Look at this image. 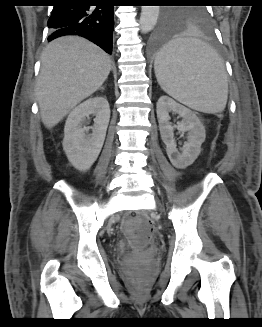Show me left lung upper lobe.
Listing matches in <instances>:
<instances>
[{
    "instance_id": "5c2ea615",
    "label": "left lung upper lobe",
    "mask_w": 262,
    "mask_h": 327,
    "mask_svg": "<svg viewBox=\"0 0 262 327\" xmlns=\"http://www.w3.org/2000/svg\"><path fill=\"white\" fill-rule=\"evenodd\" d=\"M181 3H203V0H178ZM172 28L183 24H195L202 27L210 26V15L204 6H191L183 9H168L164 12L163 23Z\"/></svg>"
}]
</instances>
